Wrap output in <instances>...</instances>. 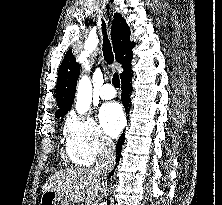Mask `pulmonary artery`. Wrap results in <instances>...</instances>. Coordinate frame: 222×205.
<instances>
[{
	"label": "pulmonary artery",
	"mask_w": 222,
	"mask_h": 205,
	"mask_svg": "<svg viewBox=\"0 0 222 205\" xmlns=\"http://www.w3.org/2000/svg\"><path fill=\"white\" fill-rule=\"evenodd\" d=\"M99 95L104 100H110L115 97L116 91L112 84L105 83L101 86Z\"/></svg>",
	"instance_id": "pulmonary-artery-1"
}]
</instances>
